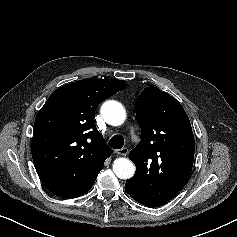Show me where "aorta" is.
Returning a JSON list of instances; mask_svg holds the SVG:
<instances>
[{
    "label": "aorta",
    "mask_w": 237,
    "mask_h": 237,
    "mask_svg": "<svg viewBox=\"0 0 237 237\" xmlns=\"http://www.w3.org/2000/svg\"><path fill=\"white\" fill-rule=\"evenodd\" d=\"M101 114L104 120L113 126L121 125L126 119L123 105L114 100H108L101 106ZM113 171L120 179H130L135 174V165L127 158H117L113 163Z\"/></svg>",
    "instance_id": "aorta-1"
}]
</instances>
